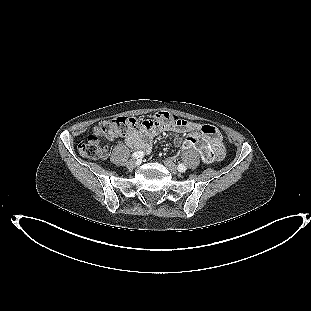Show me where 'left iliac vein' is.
I'll use <instances>...</instances> for the list:
<instances>
[{"instance_id": "left-iliac-vein-1", "label": "left iliac vein", "mask_w": 311, "mask_h": 311, "mask_svg": "<svg viewBox=\"0 0 311 311\" xmlns=\"http://www.w3.org/2000/svg\"><path fill=\"white\" fill-rule=\"evenodd\" d=\"M164 165L166 166V168L174 175H176L178 173L177 167L176 165L173 163L172 160L170 159H165L164 160Z\"/></svg>"}]
</instances>
